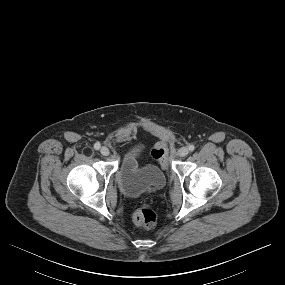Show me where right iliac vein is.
Returning <instances> with one entry per match:
<instances>
[{
	"label": "right iliac vein",
	"instance_id": "1",
	"mask_svg": "<svg viewBox=\"0 0 285 285\" xmlns=\"http://www.w3.org/2000/svg\"><path fill=\"white\" fill-rule=\"evenodd\" d=\"M100 153L103 155V156H108L110 154V151L108 149V147L106 146H102L100 148Z\"/></svg>",
	"mask_w": 285,
	"mask_h": 285
}]
</instances>
